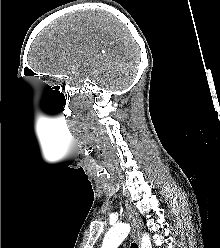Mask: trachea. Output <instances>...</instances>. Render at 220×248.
Here are the masks:
<instances>
[{
    "instance_id": "obj_1",
    "label": "trachea",
    "mask_w": 220,
    "mask_h": 248,
    "mask_svg": "<svg viewBox=\"0 0 220 248\" xmlns=\"http://www.w3.org/2000/svg\"><path fill=\"white\" fill-rule=\"evenodd\" d=\"M131 248H138V245L136 243H132Z\"/></svg>"
}]
</instances>
